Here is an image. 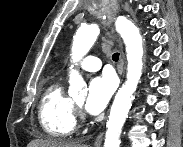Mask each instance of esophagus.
<instances>
[{"label": "esophagus", "mask_w": 183, "mask_h": 147, "mask_svg": "<svg viewBox=\"0 0 183 147\" xmlns=\"http://www.w3.org/2000/svg\"><path fill=\"white\" fill-rule=\"evenodd\" d=\"M123 66H124V55H122L121 61H120V74L123 73ZM103 140V134L102 132L96 137L94 145L95 146H100L102 144Z\"/></svg>", "instance_id": "esophagus-1"}]
</instances>
